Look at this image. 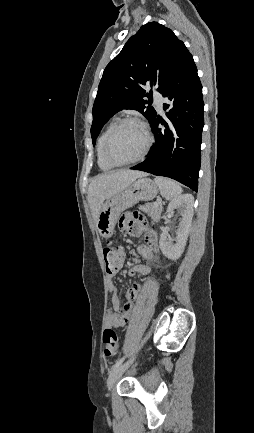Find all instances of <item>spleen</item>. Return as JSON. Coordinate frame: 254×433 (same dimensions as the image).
Wrapping results in <instances>:
<instances>
[{"label": "spleen", "instance_id": "1", "mask_svg": "<svg viewBox=\"0 0 254 433\" xmlns=\"http://www.w3.org/2000/svg\"><path fill=\"white\" fill-rule=\"evenodd\" d=\"M155 184L158 186L161 195L166 200H173L182 193L179 183L164 177H155Z\"/></svg>", "mask_w": 254, "mask_h": 433}]
</instances>
